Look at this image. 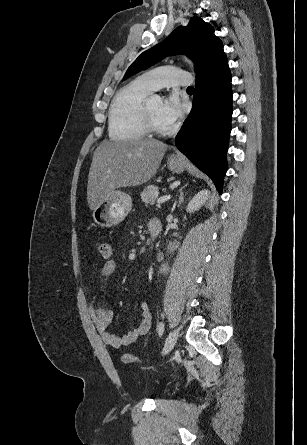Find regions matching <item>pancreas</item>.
I'll list each match as a JSON object with an SVG mask.
<instances>
[{"instance_id":"cf45deb5","label":"pancreas","mask_w":307,"mask_h":445,"mask_svg":"<svg viewBox=\"0 0 307 445\" xmlns=\"http://www.w3.org/2000/svg\"><path fill=\"white\" fill-rule=\"evenodd\" d=\"M158 190V186H153V184H150V186H146V188H143L141 192V198L143 202H149V204H154L157 196L156 192Z\"/></svg>"}]
</instances>
